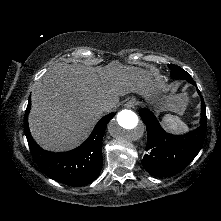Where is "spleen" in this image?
Here are the masks:
<instances>
[{
    "label": "spleen",
    "mask_w": 221,
    "mask_h": 221,
    "mask_svg": "<svg viewBox=\"0 0 221 221\" xmlns=\"http://www.w3.org/2000/svg\"><path fill=\"white\" fill-rule=\"evenodd\" d=\"M161 123L166 130L173 133H185L188 130L187 125L175 115H165Z\"/></svg>",
    "instance_id": "obj_1"
}]
</instances>
